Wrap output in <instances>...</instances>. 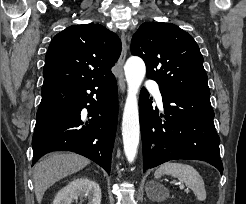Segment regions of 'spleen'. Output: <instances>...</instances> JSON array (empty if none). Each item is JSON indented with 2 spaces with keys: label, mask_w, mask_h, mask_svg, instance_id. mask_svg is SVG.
<instances>
[{
  "label": "spleen",
  "mask_w": 246,
  "mask_h": 204,
  "mask_svg": "<svg viewBox=\"0 0 246 204\" xmlns=\"http://www.w3.org/2000/svg\"><path fill=\"white\" fill-rule=\"evenodd\" d=\"M165 174L176 177L184 182L188 188L193 190L198 201H204L206 199L204 180L191 165L178 162H166L156 169L154 176L158 179Z\"/></svg>",
  "instance_id": "obj_1"
}]
</instances>
